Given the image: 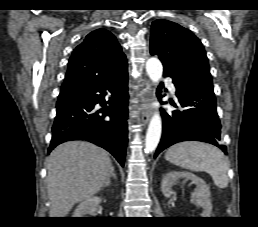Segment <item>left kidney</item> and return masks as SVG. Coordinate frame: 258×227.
Instances as JSON below:
<instances>
[{
  "label": "left kidney",
  "mask_w": 258,
  "mask_h": 227,
  "mask_svg": "<svg viewBox=\"0 0 258 227\" xmlns=\"http://www.w3.org/2000/svg\"><path fill=\"white\" fill-rule=\"evenodd\" d=\"M191 180L193 184L196 185L192 197L194 198L196 204L203 208L201 217H211L212 212V203L210 199V190L208 185L204 182L203 179L197 177L196 175L186 172V171H171L162 179V192L165 197H170L174 194L172 186L180 179Z\"/></svg>",
  "instance_id": "5707ae66"
}]
</instances>
